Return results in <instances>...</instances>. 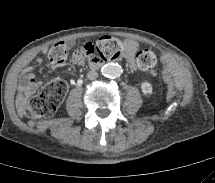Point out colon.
I'll list each match as a JSON object with an SVG mask.
<instances>
[{"instance_id": "1", "label": "colon", "mask_w": 215, "mask_h": 183, "mask_svg": "<svg viewBox=\"0 0 215 183\" xmlns=\"http://www.w3.org/2000/svg\"><path fill=\"white\" fill-rule=\"evenodd\" d=\"M68 49L65 42L54 44L48 54L50 62L56 65L63 63L67 58ZM78 51L82 52L89 60L109 61L122 54L123 44L114 37H101L96 42L83 44ZM137 64L142 71L151 75L156 74L157 57L151 50L140 51L137 54ZM67 89V83L63 80L48 82L38 94L27 101L24 114L32 119L51 117L62 103Z\"/></svg>"}]
</instances>
